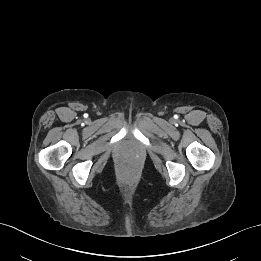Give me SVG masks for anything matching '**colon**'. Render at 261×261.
I'll use <instances>...</instances> for the list:
<instances>
[{"label":"colon","mask_w":261,"mask_h":261,"mask_svg":"<svg viewBox=\"0 0 261 261\" xmlns=\"http://www.w3.org/2000/svg\"><path fill=\"white\" fill-rule=\"evenodd\" d=\"M125 170H126V172H129L131 170V168L127 167Z\"/></svg>","instance_id":"colon-1"}]
</instances>
